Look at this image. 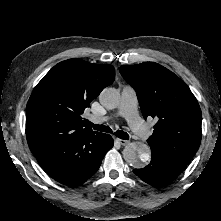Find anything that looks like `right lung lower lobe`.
I'll return each instance as SVG.
<instances>
[{"instance_id":"right-lung-lower-lobe-1","label":"right lung lower lobe","mask_w":221,"mask_h":221,"mask_svg":"<svg viewBox=\"0 0 221 221\" xmlns=\"http://www.w3.org/2000/svg\"><path fill=\"white\" fill-rule=\"evenodd\" d=\"M113 139L103 133H85L36 155L42 168L56 181L79 186L100 167Z\"/></svg>"}]
</instances>
